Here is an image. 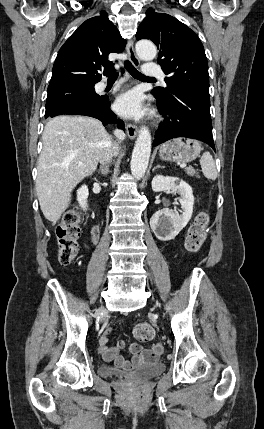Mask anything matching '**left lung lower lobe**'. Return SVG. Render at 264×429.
Returning <instances> with one entry per match:
<instances>
[{
	"instance_id": "obj_1",
	"label": "left lung lower lobe",
	"mask_w": 264,
	"mask_h": 429,
	"mask_svg": "<svg viewBox=\"0 0 264 429\" xmlns=\"http://www.w3.org/2000/svg\"><path fill=\"white\" fill-rule=\"evenodd\" d=\"M157 101L158 110L165 120L158 127L154 146L172 138L188 137L207 143L215 151L209 95L178 86L173 98Z\"/></svg>"
}]
</instances>
